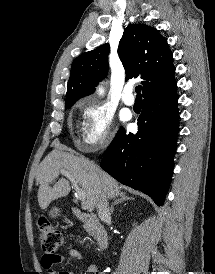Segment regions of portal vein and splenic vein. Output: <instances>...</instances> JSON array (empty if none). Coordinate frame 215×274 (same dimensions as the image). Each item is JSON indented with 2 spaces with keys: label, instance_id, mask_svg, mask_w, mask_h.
<instances>
[{
  "label": "portal vein and splenic vein",
  "instance_id": "18ae733b",
  "mask_svg": "<svg viewBox=\"0 0 215 274\" xmlns=\"http://www.w3.org/2000/svg\"><path fill=\"white\" fill-rule=\"evenodd\" d=\"M60 173L69 179L76 191V197L86 205V193L79 188L77 181L74 179V177L65 170H61Z\"/></svg>",
  "mask_w": 215,
  "mask_h": 274
}]
</instances>
